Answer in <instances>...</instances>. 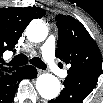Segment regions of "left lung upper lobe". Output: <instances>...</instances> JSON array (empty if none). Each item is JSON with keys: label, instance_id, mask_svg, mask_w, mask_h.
<instances>
[{"label": "left lung upper lobe", "instance_id": "obj_1", "mask_svg": "<svg viewBox=\"0 0 103 103\" xmlns=\"http://www.w3.org/2000/svg\"><path fill=\"white\" fill-rule=\"evenodd\" d=\"M59 32L56 57L70 65L68 75L99 77L102 74L100 50L85 27L71 16L57 15Z\"/></svg>", "mask_w": 103, "mask_h": 103}]
</instances>
